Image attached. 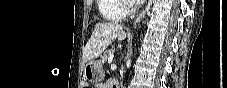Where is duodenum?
I'll use <instances>...</instances> for the list:
<instances>
[{"mask_svg":"<svg viewBox=\"0 0 227 88\" xmlns=\"http://www.w3.org/2000/svg\"><path fill=\"white\" fill-rule=\"evenodd\" d=\"M110 87H111V88H118V87H119V82H118V81L112 82V84H111Z\"/></svg>","mask_w":227,"mask_h":88,"instance_id":"1","label":"duodenum"}]
</instances>
